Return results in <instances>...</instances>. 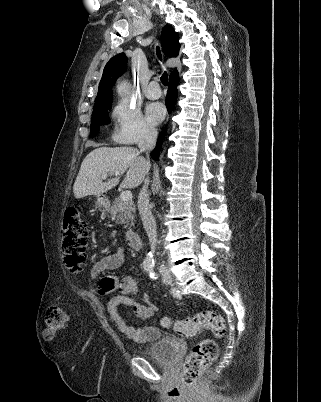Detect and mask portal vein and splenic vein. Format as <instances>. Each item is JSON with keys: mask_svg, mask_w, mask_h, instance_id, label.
Segmentation results:
<instances>
[{"mask_svg": "<svg viewBox=\"0 0 321 402\" xmlns=\"http://www.w3.org/2000/svg\"><path fill=\"white\" fill-rule=\"evenodd\" d=\"M112 175V174H111ZM118 175V173H115V176H117ZM107 178V174H103L102 175V179H106ZM120 197H121V199L123 200V201H128V200H131L132 199V193H131V191H129V190H126V191H123L121 194H120Z\"/></svg>", "mask_w": 321, "mask_h": 402, "instance_id": "18ae733b", "label": "portal vein and splenic vein"}]
</instances>
